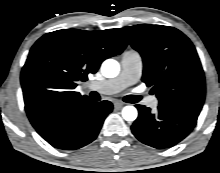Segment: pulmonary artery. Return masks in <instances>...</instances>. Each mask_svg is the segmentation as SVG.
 I'll return each instance as SVG.
<instances>
[{
  "instance_id": "obj_1",
  "label": "pulmonary artery",
  "mask_w": 220,
  "mask_h": 173,
  "mask_svg": "<svg viewBox=\"0 0 220 173\" xmlns=\"http://www.w3.org/2000/svg\"><path fill=\"white\" fill-rule=\"evenodd\" d=\"M141 72L142 58L140 54L136 51H129L123 54L122 69L116 78L94 83L91 87L101 94H117L137 82ZM147 102L153 106L158 103L155 97L148 98Z\"/></svg>"
}]
</instances>
